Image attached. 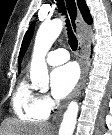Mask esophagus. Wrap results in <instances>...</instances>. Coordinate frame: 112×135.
I'll return each instance as SVG.
<instances>
[{"label":"esophagus","instance_id":"esophagus-1","mask_svg":"<svg viewBox=\"0 0 112 135\" xmlns=\"http://www.w3.org/2000/svg\"><path fill=\"white\" fill-rule=\"evenodd\" d=\"M72 1H74V0H66L65 2H66V7H67L70 22L72 24V27L73 28L75 27L74 30L76 31L77 36L79 37L78 52L80 55L81 76H80V80H79L78 84L76 85L75 89L70 94L67 101L62 104V106L58 110L57 114L55 115V117L53 119L54 123L58 122L63 110L66 108V106L70 102V100L75 99L79 96V94L83 88V85L85 83L86 75L88 73V68H89V50L84 45L83 39H82L83 34H84L85 38H87V39L89 38V35H88L87 31L85 30V24H84L83 18L81 16V13L76 6V1H74L76 9H74L73 7H70V2H72Z\"/></svg>","mask_w":112,"mask_h":135}]
</instances>
